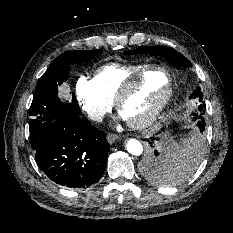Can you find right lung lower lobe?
Returning <instances> with one entry per match:
<instances>
[{"label":"right lung lower lobe","mask_w":233,"mask_h":233,"mask_svg":"<svg viewBox=\"0 0 233 233\" xmlns=\"http://www.w3.org/2000/svg\"><path fill=\"white\" fill-rule=\"evenodd\" d=\"M109 146L105 134L89 121L66 114L52 122L36 162L57 184L87 188L101 177Z\"/></svg>","instance_id":"right-lung-lower-lobe-1"}]
</instances>
